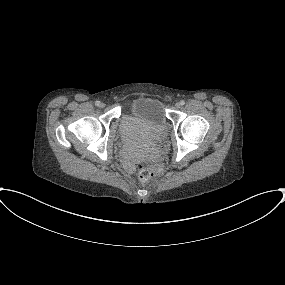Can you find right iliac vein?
<instances>
[{
	"label": "right iliac vein",
	"mask_w": 285,
	"mask_h": 285,
	"mask_svg": "<svg viewBox=\"0 0 285 285\" xmlns=\"http://www.w3.org/2000/svg\"><path fill=\"white\" fill-rule=\"evenodd\" d=\"M104 106H105L104 103H100V104H99V107H104Z\"/></svg>",
	"instance_id": "63e3f726"
}]
</instances>
